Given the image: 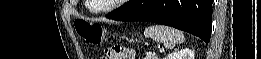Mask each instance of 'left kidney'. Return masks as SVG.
Returning a JSON list of instances; mask_svg holds the SVG:
<instances>
[{"label":"left kidney","instance_id":"1","mask_svg":"<svg viewBox=\"0 0 261 59\" xmlns=\"http://www.w3.org/2000/svg\"><path fill=\"white\" fill-rule=\"evenodd\" d=\"M164 59H194V52L189 48L168 54Z\"/></svg>","mask_w":261,"mask_h":59}]
</instances>
